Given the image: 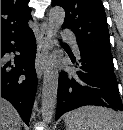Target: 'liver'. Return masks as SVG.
I'll return each mask as SVG.
<instances>
[{
	"label": "liver",
	"mask_w": 123,
	"mask_h": 130,
	"mask_svg": "<svg viewBox=\"0 0 123 130\" xmlns=\"http://www.w3.org/2000/svg\"><path fill=\"white\" fill-rule=\"evenodd\" d=\"M21 118L16 109L1 98V130H20Z\"/></svg>",
	"instance_id": "liver-1"
}]
</instances>
